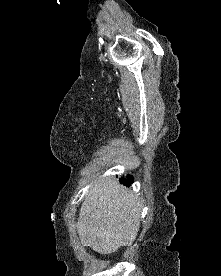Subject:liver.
<instances>
[{
  "label": "liver",
  "instance_id": "obj_1",
  "mask_svg": "<svg viewBox=\"0 0 221 276\" xmlns=\"http://www.w3.org/2000/svg\"><path fill=\"white\" fill-rule=\"evenodd\" d=\"M141 203L128 188L111 177L99 178L81 206L77 232L83 246L110 254L130 246L140 228Z\"/></svg>",
  "mask_w": 221,
  "mask_h": 276
}]
</instances>
